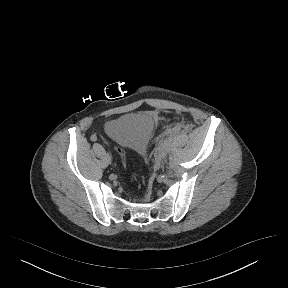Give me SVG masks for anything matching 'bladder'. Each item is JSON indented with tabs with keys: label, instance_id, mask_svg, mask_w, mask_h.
<instances>
[{
	"label": "bladder",
	"instance_id": "bladder-1",
	"mask_svg": "<svg viewBox=\"0 0 288 288\" xmlns=\"http://www.w3.org/2000/svg\"><path fill=\"white\" fill-rule=\"evenodd\" d=\"M156 125L154 117L147 113L128 114L111 121L105 132L126 147L141 151Z\"/></svg>",
	"mask_w": 288,
	"mask_h": 288
}]
</instances>
